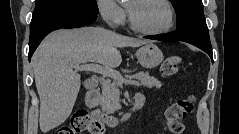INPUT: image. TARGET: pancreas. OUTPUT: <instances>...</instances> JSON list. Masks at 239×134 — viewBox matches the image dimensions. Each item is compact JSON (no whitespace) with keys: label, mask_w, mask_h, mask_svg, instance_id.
<instances>
[{"label":"pancreas","mask_w":239,"mask_h":134,"mask_svg":"<svg viewBox=\"0 0 239 134\" xmlns=\"http://www.w3.org/2000/svg\"><path fill=\"white\" fill-rule=\"evenodd\" d=\"M135 76L146 88L162 87V83L153 76H150L148 72L140 71ZM119 85L120 84L116 80L113 82L106 81L102 84V97L100 100V105L102 110L108 114H114L121 109L119 101Z\"/></svg>","instance_id":"1"}]
</instances>
